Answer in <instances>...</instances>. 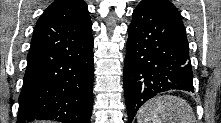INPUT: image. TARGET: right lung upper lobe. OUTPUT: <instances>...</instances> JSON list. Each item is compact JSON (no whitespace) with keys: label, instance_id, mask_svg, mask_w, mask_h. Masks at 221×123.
<instances>
[{"label":"right lung upper lobe","instance_id":"obj_1","mask_svg":"<svg viewBox=\"0 0 221 123\" xmlns=\"http://www.w3.org/2000/svg\"><path fill=\"white\" fill-rule=\"evenodd\" d=\"M91 30L89 11L83 0H55L37 21L30 49L76 41Z\"/></svg>","mask_w":221,"mask_h":123}]
</instances>
